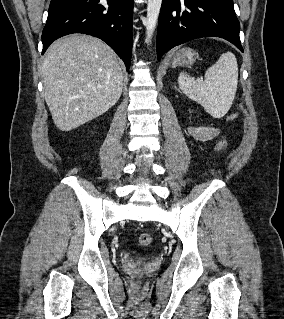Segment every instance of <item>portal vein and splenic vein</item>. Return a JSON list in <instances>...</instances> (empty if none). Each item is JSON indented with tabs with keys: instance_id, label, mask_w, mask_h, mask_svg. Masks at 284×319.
I'll list each match as a JSON object with an SVG mask.
<instances>
[{
	"instance_id": "18ae733b",
	"label": "portal vein and splenic vein",
	"mask_w": 284,
	"mask_h": 319,
	"mask_svg": "<svg viewBox=\"0 0 284 319\" xmlns=\"http://www.w3.org/2000/svg\"><path fill=\"white\" fill-rule=\"evenodd\" d=\"M203 79L202 78H199V81H202Z\"/></svg>"
}]
</instances>
